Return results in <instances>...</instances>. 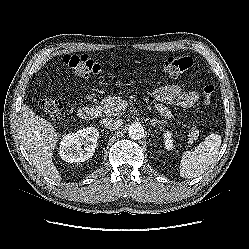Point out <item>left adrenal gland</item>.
Returning a JSON list of instances; mask_svg holds the SVG:
<instances>
[{"instance_id":"a2214340","label":"left adrenal gland","mask_w":249,"mask_h":249,"mask_svg":"<svg viewBox=\"0 0 249 249\" xmlns=\"http://www.w3.org/2000/svg\"><path fill=\"white\" fill-rule=\"evenodd\" d=\"M157 123L163 124L162 121L157 120V119H152V120H150V124H151V126H153V127H155V125H156Z\"/></svg>"}]
</instances>
